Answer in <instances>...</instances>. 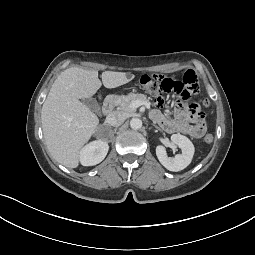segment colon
I'll return each instance as SVG.
<instances>
[{
	"label": "colon",
	"mask_w": 255,
	"mask_h": 255,
	"mask_svg": "<svg viewBox=\"0 0 255 255\" xmlns=\"http://www.w3.org/2000/svg\"><path fill=\"white\" fill-rule=\"evenodd\" d=\"M139 83L145 90L157 96L158 103H161L160 96L162 93H173L177 96L180 106L187 107L198 119H203L204 114L200 106L196 103H188L191 95L198 92L197 75L193 70H188L181 81L173 80L161 74H152L142 75ZM203 105L207 106L208 102L205 101ZM213 140L212 133H208L204 137V141L207 143H211Z\"/></svg>",
	"instance_id": "1"
}]
</instances>
